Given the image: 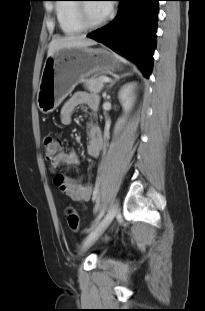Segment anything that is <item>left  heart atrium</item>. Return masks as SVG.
<instances>
[{
    "label": "left heart atrium",
    "mask_w": 205,
    "mask_h": 311,
    "mask_svg": "<svg viewBox=\"0 0 205 311\" xmlns=\"http://www.w3.org/2000/svg\"><path fill=\"white\" fill-rule=\"evenodd\" d=\"M102 2H112V1H102ZM101 8L105 15H108L112 10V4L111 3H102Z\"/></svg>",
    "instance_id": "left-heart-atrium-1"
}]
</instances>
